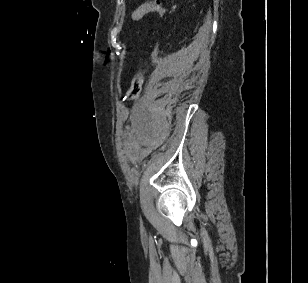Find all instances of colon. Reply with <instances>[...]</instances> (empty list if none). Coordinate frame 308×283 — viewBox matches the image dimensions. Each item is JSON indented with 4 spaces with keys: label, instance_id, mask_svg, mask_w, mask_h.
Segmentation results:
<instances>
[{
    "label": "colon",
    "instance_id": "1",
    "mask_svg": "<svg viewBox=\"0 0 308 283\" xmlns=\"http://www.w3.org/2000/svg\"><path fill=\"white\" fill-rule=\"evenodd\" d=\"M151 11H158L159 13H164V8L160 0H150L141 6H139L132 14V22H138L145 14ZM144 83V75L143 73H138L132 80L128 91L126 92L125 100L126 101H134L136 100L142 90Z\"/></svg>",
    "mask_w": 308,
    "mask_h": 283
}]
</instances>
